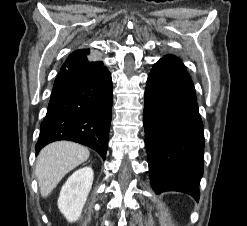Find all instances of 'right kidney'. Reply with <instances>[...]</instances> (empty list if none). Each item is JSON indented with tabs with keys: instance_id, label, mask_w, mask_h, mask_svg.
<instances>
[{
	"instance_id": "1",
	"label": "right kidney",
	"mask_w": 247,
	"mask_h": 226,
	"mask_svg": "<svg viewBox=\"0 0 247 226\" xmlns=\"http://www.w3.org/2000/svg\"><path fill=\"white\" fill-rule=\"evenodd\" d=\"M94 173L91 167L75 171L63 185L58 207L69 222L79 219L91 190Z\"/></svg>"
}]
</instances>
